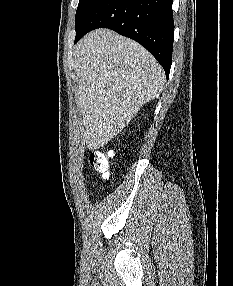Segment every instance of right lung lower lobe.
<instances>
[{
	"label": "right lung lower lobe",
	"instance_id": "1",
	"mask_svg": "<svg viewBox=\"0 0 233 286\" xmlns=\"http://www.w3.org/2000/svg\"><path fill=\"white\" fill-rule=\"evenodd\" d=\"M173 0H94L76 25L75 43L96 28H109L144 46L169 77L172 63Z\"/></svg>",
	"mask_w": 233,
	"mask_h": 286
}]
</instances>
